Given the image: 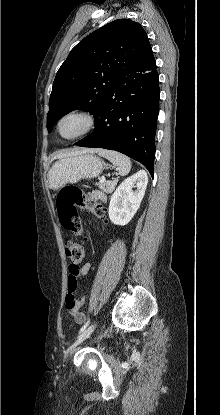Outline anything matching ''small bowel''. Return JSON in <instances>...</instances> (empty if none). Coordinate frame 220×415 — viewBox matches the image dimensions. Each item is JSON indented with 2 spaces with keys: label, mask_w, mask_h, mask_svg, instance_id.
<instances>
[{
  "label": "small bowel",
  "mask_w": 220,
  "mask_h": 415,
  "mask_svg": "<svg viewBox=\"0 0 220 415\" xmlns=\"http://www.w3.org/2000/svg\"><path fill=\"white\" fill-rule=\"evenodd\" d=\"M105 201V195L102 192H94L92 193L91 197L87 201V205L89 208H94L95 202H104ZM100 219L103 217H99ZM90 270V263L85 262L81 268L79 269L80 275L84 276L88 273ZM84 306V299H76V302L73 306L68 307L66 306L69 314L74 318V320L79 323L83 324L85 322L86 316L85 313L82 311V308Z\"/></svg>",
  "instance_id": "obj_1"
}]
</instances>
